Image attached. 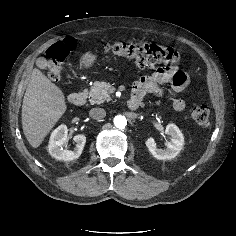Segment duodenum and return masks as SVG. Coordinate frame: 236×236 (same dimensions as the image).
Returning a JSON list of instances; mask_svg holds the SVG:
<instances>
[{
  "label": "duodenum",
  "mask_w": 236,
  "mask_h": 236,
  "mask_svg": "<svg viewBox=\"0 0 236 236\" xmlns=\"http://www.w3.org/2000/svg\"><path fill=\"white\" fill-rule=\"evenodd\" d=\"M86 101V93L84 91L74 92L69 96V102L75 106H81ZM141 103V97L132 95L128 100V107L131 110H136Z\"/></svg>",
  "instance_id": "1"
}]
</instances>
